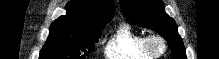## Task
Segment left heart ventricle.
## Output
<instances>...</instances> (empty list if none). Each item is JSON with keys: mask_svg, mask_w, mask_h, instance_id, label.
Segmentation results:
<instances>
[{"mask_svg": "<svg viewBox=\"0 0 219 59\" xmlns=\"http://www.w3.org/2000/svg\"><path fill=\"white\" fill-rule=\"evenodd\" d=\"M155 49L159 50L160 49V45L159 44H155Z\"/></svg>", "mask_w": 219, "mask_h": 59, "instance_id": "obj_1", "label": "left heart ventricle"}]
</instances>
